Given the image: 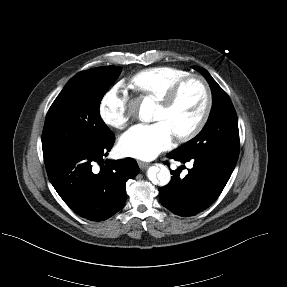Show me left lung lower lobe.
<instances>
[{
  "mask_svg": "<svg viewBox=\"0 0 287 287\" xmlns=\"http://www.w3.org/2000/svg\"><path fill=\"white\" fill-rule=\"evenodd\" d=\"M181 163L193 162L188 174L180 177L181 168L171 170V181L159 188L161 204L176 215L188 217L205 210L219 197L236 163L210 153H179L166 155ZM169 166V163L166 162Z\"/></svg>",
  "mask_w": 287,
  "mask_h": 287,
  "instance_id": "left-lung-lower-lobe-1",
  "label": "left lung lower lobe"
}]
</instances>
